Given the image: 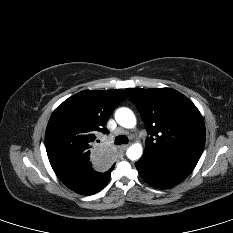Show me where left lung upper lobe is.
I'll list each match as a JSON object with an SVG mask.
<instances>
[{
  "label": "left lung upper lobe",
  "instance_id": "obj_1",
  "mask_svg": "<svg viewBox=\"0 0 233 233\" xmlns=\"http://www.w3.org/2000/svg\"><path fill=\"white\" fill-rule=\"evenodd\" d=\"M126 91L150 135L145 152L200 159L205 144V125L192 101L170 88H128Z\"/></svg>",
  "mask_w": 233,
  "mask_h": 233
}]
</instances>
